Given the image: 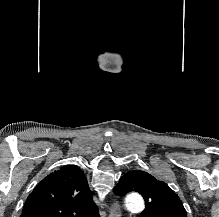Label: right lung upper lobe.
<instances>
[{
	"label": "right lung upper lobe",
	"instance_id": "obj_1",
	"mask_svg": "<svg viewBox=\"0 0 219 217\" xmlns=\"http://www.w3.org/2000/svg\"><path fill=\"white\" fill-rule=\"evenodd\" d=\"M21 217H99L84 173L74 165L46 176L28 196Z\"/></svg>",
	"mask_w": 219,
	"mask_h": 217
}]
</instances>
